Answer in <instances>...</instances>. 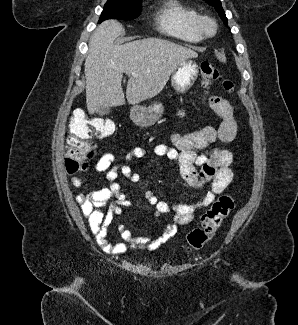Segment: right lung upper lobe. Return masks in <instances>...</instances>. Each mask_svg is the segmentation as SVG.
<instances>
[{"mask_svg":"<svg viewBox=\"0 0 298 325\" xmlns=\"http://www.w3.org/2000/svg\"><path fill=\"white\" fill-rule=\"evenodd\" d=\"M111 1H127V2H137V3H141V0H111Z\"/></svg>","mask_w":298,"mask_h":325,"instance_id":"obj_1","label":"right lung upper lobe"}]
</instances>
